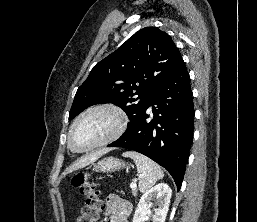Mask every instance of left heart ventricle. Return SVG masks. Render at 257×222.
<instances>
[{"label":"left heart ventricle","instance_id":"obj_1","mask_svg":"<svg viewBox=\"0 0 257 222\" xmlns=\"http://www.w3.org/2000/svg\"><path fill=\"white\" fill-rule=\"evenodd\" d=\"M116 126L115 117L108 112L97 111L83 117L75 126L72 142L77 149H85L102 141Z\"/></svg>","mask_w":257,"mask_h":222}]
</instances>
